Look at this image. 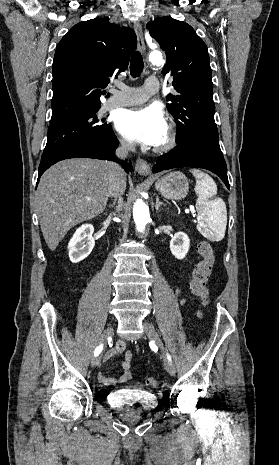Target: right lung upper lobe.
Listing matches in <instances>:
<instances>
[{"label": "right lung upper lobe", "instance_id": "right-lung-upper-lobe-1", "mask_svg": "<svg viewBox=\"0 0 279 465\" xmlns=\"http://www.w3.org/2000/svg\"><path fill=\"white\" fill-rule=\"evenodd\" d=\"M136 43L133 29L106 19L73 26L54 56L51 124L100 108L102 89L127 68Z\"/></svg>", "mask_w": 279, "mask_h": 465}]
</instances>
